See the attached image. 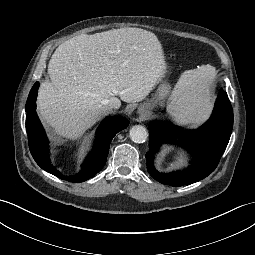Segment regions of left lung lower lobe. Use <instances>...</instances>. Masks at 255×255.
I'll list each match as a JSON object with an SVG mask.
<instances>
[{
	"instance_id": "left-lung-lower-lobe-1",
	"label": "left lung lower lobe",
	"mask_w": 255,
	"mask_h": 255,
	"mask_svg": "<svg viewBox=\"0 0 255 255\" xmlns=\"http://www.w3.org/2000/svg\"><path fill=\"white\" fill-rule=\"evenodd\" d=\"M233 128V110L227 93L220 90L210 119L195 131H189L183 140L193 156L195 166L169 174L159 173L154 165V154L164 142H173V134L183 130L170 123L154 121L150 124L149 152L146 154L149 174L162 184L171 186L190 185L212 173L217 167L229 142Z\"/></svg>"
}]
</instances>
